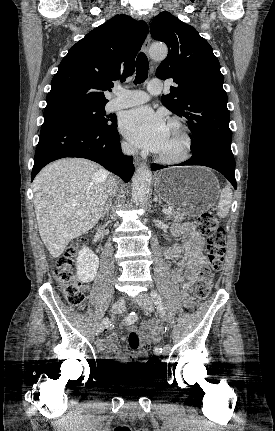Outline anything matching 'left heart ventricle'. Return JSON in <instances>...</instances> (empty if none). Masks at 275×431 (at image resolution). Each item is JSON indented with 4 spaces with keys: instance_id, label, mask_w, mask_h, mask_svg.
<instances>
[{
    "instance_id": "b2bd125f",
    "label": "left heart ventricle",
    "mask_w": 275,
    "mask_h": 431,
    "mask_svg": "<svg viewBox=\"0 0 275 431\" xmlns=\"http://www.w3.org/2000/svg\"><path fill=\"white\" fill-rule=\"evenodd\" d=\"M181 149L182 137L179 130L175 126L168 124L165 140L158 153L164 156H175Z\"/></svg>"
}]
</instances>
